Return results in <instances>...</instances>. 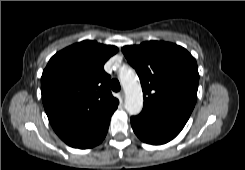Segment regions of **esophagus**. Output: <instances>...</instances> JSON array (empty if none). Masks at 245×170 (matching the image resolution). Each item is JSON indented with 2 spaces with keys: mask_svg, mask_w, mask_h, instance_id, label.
I'll return each instance as SVG.
<instances>
[{
  "mask_svg": "<svg viewBox=\"0 0 245 170\" xmlns=\"http://www.w3.org/2000/svg\"><path fill=\"white\" fill-rule=\"evenodd\" d=\"M119 95H120L121 101H123V99H124V91H120Z\"/></svg>",
  "mask_w": 245,
  "mask_h": 170,
  "instance_id": "esophagus-1",
  "label": "esophagus"
}]
</instances>
